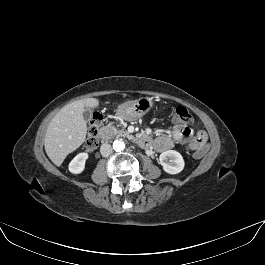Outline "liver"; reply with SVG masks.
Instances as JSON below:
<instances>
[{
	"label": "liver",
	"mask_w": 265,
	"mask_h": 265,
	"mask_svg": "<svg viewBox=\"0 0 265 265\" xmlns=\"http://www.w3.org/2000/svg\"><path fill=\"white\" fill-rule=\"evenodd\" d=\"M99 100L86 98L64 106L50 121L44 147L47 156L60 166L66 156L79 148L86 140L87 125L83 118L85 108H96Z\"/></svg>",
	"instance_id": "obj_1"
}]
</instances>
